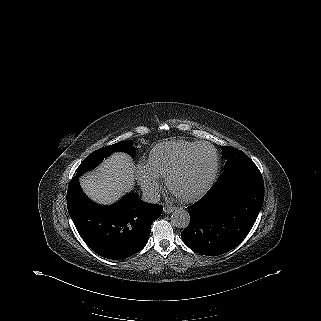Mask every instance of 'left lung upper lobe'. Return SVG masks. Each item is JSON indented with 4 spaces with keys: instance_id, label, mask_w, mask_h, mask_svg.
Returning a JSON list of instances; mask_svg holds the SVG:
<instances>
[{
    "instance_id": "5c2ea615",
    "label": "left lung upper lobe",
    "mask_w": 321,
    "mask_h": 321,
    "mask_svg": "<svg viewBox=\"0 0 321 321\" xmlns=\"http://www.w3.org/2000/svg\"><path fill=\"white\" fill-rule=\"evenodd\" d=\"M222 149V156L227 160L225 167H228L232 164L251 160L244 152L241 150H236L230 147H221Z\"/></svg>"
}]
</instances>
